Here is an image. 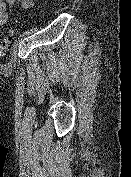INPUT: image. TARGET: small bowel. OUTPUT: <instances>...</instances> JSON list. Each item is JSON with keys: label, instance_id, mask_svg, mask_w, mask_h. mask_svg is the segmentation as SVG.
<instances>
[{"label": "small bowel", "instance_id": "obj_1", "mask_svg": "<svg viewBox=\"0 0 131 177\" xmlns=\"http://www.w3.org/2000/svg\"><path fill=\"white\" fill-rule=\"evenodd\" d=\"M16 5L29 9L33 6V0H0V28L11 20Z\"/></svg>", "mask_w": 131, "mask_h": 177}]
</instances>
